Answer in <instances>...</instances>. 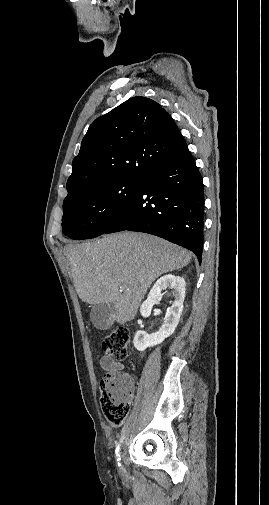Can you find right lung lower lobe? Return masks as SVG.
Instances as JSON below:
<instances>
[{
  "mask_svg": "<svg viewBox=\"0 0 269 505\" xmlns=\"http://www.w3.org/2000/svg\"><path fill=\"white\" fill-rule=\"evenodd\" d=\"M105 233L138 231L162 237L202 259L204 185L188 148L157 164Z\"/></svg>",
  "mask_w": 269,
  "mask_h": 505,
  "instance_id": "right-lung-lower-lobe-1",
  "label": "right lung lower lobe"
}]
</instances>
